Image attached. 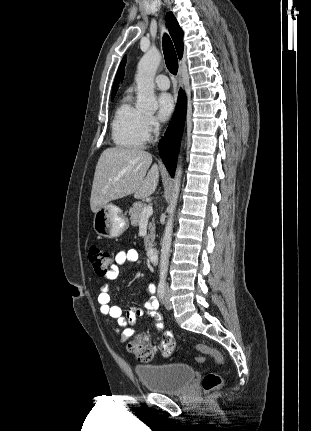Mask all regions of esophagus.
<instances>
[{"label": "esophagus", "instance_id": "34e87169", "mask_svg": "<svg viewBox=\"0 0 311 431\" xmlns=\"http://www.w3.org/2000/svg\"><path fill=\"white\" fill-rule=\"evenodd\" d=\"M181 80H182V75H181V72H179L178 76H177V82H178V87L179 88L181 86ZM158 161H159V163H161V160H158Z\"/></svg>", "mask_w": 311, "mask_h": 431}]
</instances>
